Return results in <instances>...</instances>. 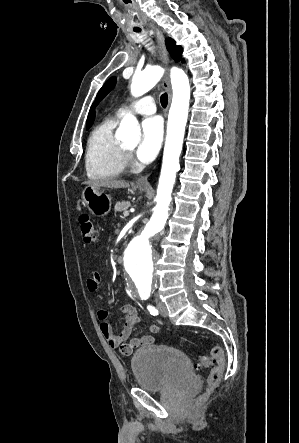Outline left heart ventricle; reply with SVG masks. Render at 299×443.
<instances>
[{
    "label": "left heart ventricle",
    "instance_id": "b2bd125f",
    "mask_svg": "<svg viewBox=\"0 0 299 443\" xmlns=\"http://www.w3.org/2000/svg\"><path fill=\"white\" fill-rule=\"evenodd\" d=\"M126 148H127L128 150H132V149L134 148V145L126 146Z\"/></svg>",
    "mask_w": 299,
    "mask_h": 443
}]
</instances>
